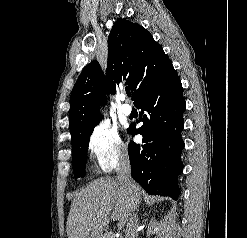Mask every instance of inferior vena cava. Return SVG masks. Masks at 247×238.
Here are the masks:
<instances>
[{
    "instance_id": "inferior-vena-cava-1",
    "label": "inferior vena cava",
    "mask_w": 247,
    "mask_h": 238,
    "mask_svg": "<svg viewBox=\"0 0 247 238\" xmlns=\"http://www.w3.org/2000/svg\"><path fill=\"white\" fill-rule=\"evenodd\" d=\"M117 173V180L123 184V186L126 188L132 202V213L133 215H130L129 223H128V231L126 234V238H138V232L137 229L139 227L138 224V216L136 213H134L138 207V199L135 193L136 185L132 180L131 172H130V162L128 158V154L126 151H123L120 153L119 156V163L116 170Z\"/></svg>"
}]
</instances>
